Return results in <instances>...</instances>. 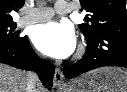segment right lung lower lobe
<instances>
[{
	"label": "right lung lower lobe",
	"mask_w": 127,
	"mask_h": 92,
	"mask_svg": "<svg viewBox=\"0 0 127 92\" xmlns=\"http://www.w3.org/2000/svg\"><path fill=\"white\" fill-rule=\"evenodd\" d=\"M0 63L19 69L36 70L43 85L48 89L52 88L55 67L52 63L38 58L28 38L21 43L0 41Z\"/></svg>",
	"instance_id": "1"
}]
</instances>
